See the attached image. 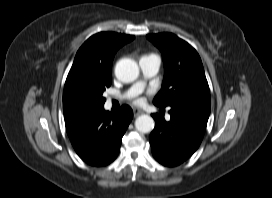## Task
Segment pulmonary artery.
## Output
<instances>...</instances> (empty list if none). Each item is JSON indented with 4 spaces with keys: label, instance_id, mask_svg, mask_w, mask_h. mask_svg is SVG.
<instances>
[{
    "label": "pulmonary artery",
    "instance_id": "pulmonary-artery-1",
    "mask_svg": "<svg viewBox=\"0 0 272 198\" xmlns=\"http://www.w3.org/2000/svg\"><path fill=\"white\" fill-rule=\"evenodd\" d=\"M139 67L145 78L153 77L157 74L160 67V59L156 55H146L139 59ZM144 87V81H139L135 83L126 93L119 97H110L109 101L117 98H128L134 96L142 91Z\"/></svg>",
    "mask_w": 272,
    "mask_h": 198
}]
</instances>
